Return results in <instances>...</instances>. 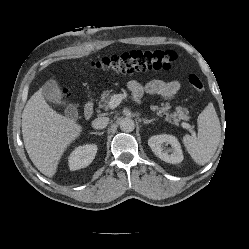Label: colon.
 <instances>
[{"instance_id":"obj_1","label":"colon","mask_w":249,"mask_h":249,"mask_svg":"<svg viewBox=\"0 0 249 249\" xmlns=\"http://www.w3.org/2000/svg\"><path fill=\"white\" fill-rule=\"evenodd\" d=\"M175 61L176 54L173 51L146 49L102 57L92 62V66L102 71L133 73L146 70H169ZM188 83L198 92L204 89L202 80L196 74L188 76ZM63 95L67 97L68 91L64 90Z\"/></svg>"}]
</instances>
